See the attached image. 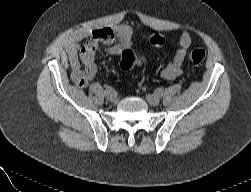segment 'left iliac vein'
<instances>
[{"instance_id":"left-iliac-vein-1","label":"left iliac vein","mask_w":251,"mask_h":192,"mask_svg":"<svg viewBox=\"0 0 251 192\" xmlns=\"http://www.w3.org/2000/svg\"><path fill=\"white\" fill-rule=\"evenodd\" d=\"M145 98L147 102L152 106H157L160 103V99L156 95L147 94Z\"/></svg>"}]
</instances>
